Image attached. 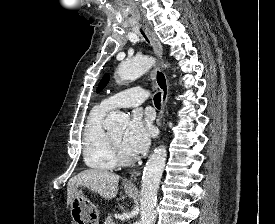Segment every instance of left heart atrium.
<instances>
[{"label":"left heart atrium","mask_w":275,"mask_h":224,"mask_svg":"<svg viewBox=\"0 0 275 224\" xmlns=\"http://www.w3.org/2000/svg\"><path fill=\"white\" fill-rule=\"evenodd\" d=\"M152 136V126L139 115L132 116L122 137V146L130 154H139L147 149Z\"/></svg>","instance_id":"1"}]
</instances>
